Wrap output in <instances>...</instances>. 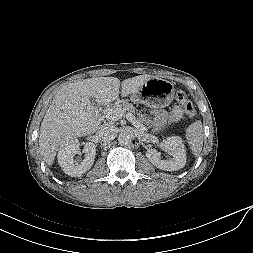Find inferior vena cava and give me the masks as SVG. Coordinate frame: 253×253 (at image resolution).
<instances>
[{
  "mask_svg": "<svg viewBox=\"0 0 253 253\" xmlns=\"http://www.w3.org/2000/svg\"><path fill=\"white\" fill-rule=\"evenodd\" d=\"M115 128L110 124L101 125L97 131V137L102 142H109L113 139Z\"/></svg>",
  "mask_w": 253,
  "mask_h": 253,
  "instance_id": "1",
  "label": "inferior vena cava"
}]
</instances>
